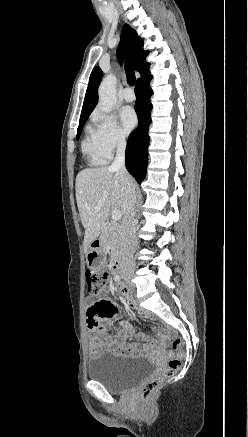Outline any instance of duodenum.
I'll list each match as a JSON object with an SVG mask.
<instances>
[{
  "label": "duodenum",
  "mask_w": 248,
  "mask_h": 437,
  "mask_svg": "<svg viewBox=\"0 0 248 437\" xmlns=\"http://www.w3.org/2000/svg\"><path fill=\"white\" fill-rule=\"evenodd\" d=\"M101 241L99 238H96L93 240L90 244V247L92 249H98L100 247ZM122 267V261L120 258H116L113 262V270L118 273L121 270Z\"/></svg>",
  "instance_id": "410a0bca"
}]
</instances>
